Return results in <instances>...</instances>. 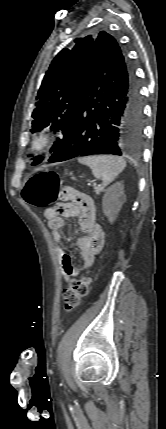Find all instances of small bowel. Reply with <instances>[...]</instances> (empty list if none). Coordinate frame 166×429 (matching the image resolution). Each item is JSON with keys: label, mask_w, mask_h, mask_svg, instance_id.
Instances as JSON below:
<instances>
[{"label": "small bowel", "mask_w": 166, "mask_h": 429, "mask_svg": "<svg viewBox=\"0 0 166 429\" xmlns=\"http://www.w3.org/2000/svg\"><path fill=\"white\" fill-rule=\"evenodd\" d=\"M44 216L48 221V227L52 231L53 240L56 244L55 254L60 265L61 274L68 281L78 275L80 269L73 264L71 256L60 246L63 240L61 230L64 226V218L78 217L80 228L85 233L75 242L83 261V268L90 267L96 254L103 248L105 232L96 220V208L91 199L86 206H79L73 202L59 203L46 209Z\"/></svg>", "instance_id": "c3829d8e"}]
</instances>
